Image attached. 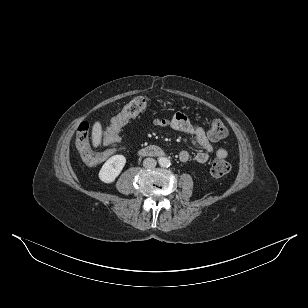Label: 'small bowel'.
I'll list each match as a JSON object with an SVG mask.
<instances>
[{
	"instance_id": "small-bowel-1",
	"label": "small bowel",
	"mask_w": 308,
	"mask_h": 308,
	"mask_svg": "<svg viewBox=\"0 0 308 308\" xmlns=\"http://www.w3.org/2000/svg\"><path fill=\"white\" fill-rule=\"evenodd\" d=\"M154 124L161 127H170L173 130L189 135L193 143L201 149L196 155L195 160L198 163H205L208 161L209 153L214 152L218 158H225L228 154L226 148H214L208 139L204 129L198 125L193 124L189 118L183 113H176L171 118H156ZM179 159L181 162L186 163L190 159V154L186 150L179 152Z\"/></svg>"
}]
</instances>
